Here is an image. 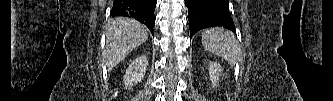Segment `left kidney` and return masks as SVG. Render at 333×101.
Wrapping results in <instances>:
<instances>
[{
	"mask_svg": "<svg viewBox=\"0 0 333 101\" xmlns=\"http://www.w3.org/2000/svg\"><path fill=\"white\" fill-rule=\"evenodd\" d=\"M208 70L212 86L215 87L218 85L219 77L222 74L223 68L218 62H210Z\"/></svg>",
	"mask_w": 333,
	"mask_h": 101,
	"instance_id": "obj_1",
	"label": "left kidney"
}]
</instances>
